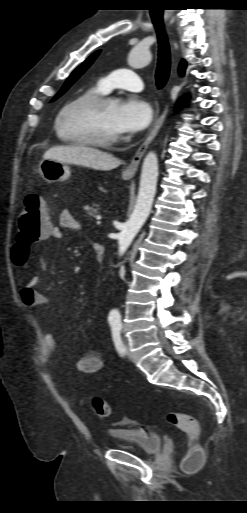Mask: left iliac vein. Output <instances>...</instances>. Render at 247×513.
<instances>
[{
    "label": "left iliac vein",
    "mask_w": 247,
    "mask_h": 513,
    "mask_svg": "<svg viewBox=\"0 0 247 513\" xmlns=\"http://www.w3.org/2000/svg\"><path fill=\"white\" fill-rule=\"evenodd\" d=\"M126 352L131 361H134V357L132 356V353L129 351L128 345L125 343Z\"/></svg>",
    "instance_id": "left-iliac-vein-1"
}]
</instances>
